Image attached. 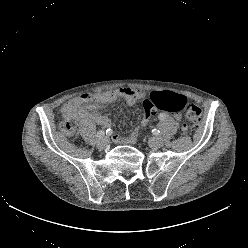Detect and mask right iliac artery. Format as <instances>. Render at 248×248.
<instances>
[{
    "instance_id": "1",
    "label": "right iliac artery",
    "mask_w": 248,
    "mask_h": 248,
    "mask_svg": "<svg viewBox=\"0 0 248 248\" xmlns=\"http://www.w3.org/2000/svg\"><path fill=\"white\" fill-rule=\"evenodd\" d=\"M107 131H108V130H107ZM107 131H106V134H107ZM104 134H105V132H104L103 130H99V131L97 132V137L101 138V137L104 136Z\"/></svg>"
}]
</instances>
